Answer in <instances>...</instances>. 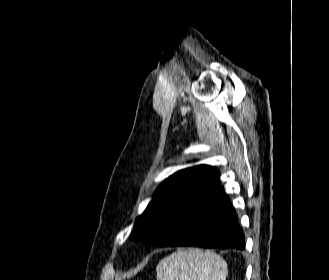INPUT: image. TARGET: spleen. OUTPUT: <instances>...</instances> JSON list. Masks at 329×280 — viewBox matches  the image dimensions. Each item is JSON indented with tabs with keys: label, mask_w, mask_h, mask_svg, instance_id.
<instances>
[{
	"label": "spleen",
	"mask_w": 329,
	"mask_h": 280,
	"mask_svg": "<svg viewBox=\"0 0 329 280\" xmlns=\"http://www.w3.org/2000/svg\"><path fill=\"white\" fill-rule=\"evenodd\" d=\"M157 280H226L227 264L210 250L189 248L162 259Z\"/></svg>",
	"instance_id": "obj_1"
}]
</instances>
